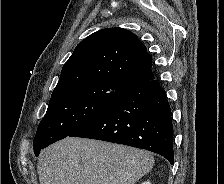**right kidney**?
Here are the masks:
<instances>
[{"label":"right kidney","mask_w":224,"mask_h":184,"mask_svg":"<svg viewBox=\"0 0 224 184\" xmlns=\"http://www.w3.org/2000/svg\"><path fill=\"white\" fill-rule=\"evenodd\" d=\"M142 184H151L149 181L143 182Z\"/></svg>","instance_id":"obj_1"}]
</instances>
